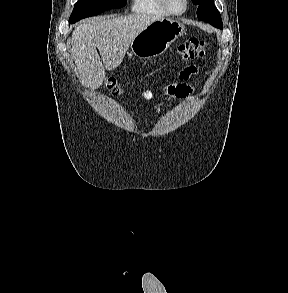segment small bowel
<instances>
[{"instance_id":"small-bowel-1","label":"small bowel","mask_w":288,"mask_h":293,"mask_svg":"<svg viewBox=\"0 0 288 293\" xmlns=\"http://www.w3.org/2000/svg\"><path fill=\"white\" fill-rule=\"evenodd\" d=\"M195 72H196V68L193 66H190V67H187L186 69H184L180 73V76H179L180 80L182 82L177 83V84H173V85H169L165 90L166 94L181 98L183 100L187 99L191 93V87L189 85H187L184 81L187 80L190 77V75ZM143 96L147 100H151L153 97L151 92H145L143 94ZM156 113L158 115L161 113V109L159 107L156 109Z\"/></svg>"}]
</instances>
